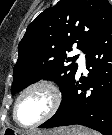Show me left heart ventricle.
Masks as SVG:
<instances>
[{
    "label": "left heart ventricle",
    "mask_w": 112,
    "mask_h": 135,
    "mask_svg": "<svg viewBox=\"0 0 112 135\" xmlns=\"http://www.w3.org/2000/svg\"><path fill=\"white\" fill-rule=\"evenodd\" d=\"M52 105L51 93L44 88L27 92L20 100L17 115L24 124H32L44 117Z\"/></svg>",
    "instance_id": "b2bd125f"
}]
</instances>
